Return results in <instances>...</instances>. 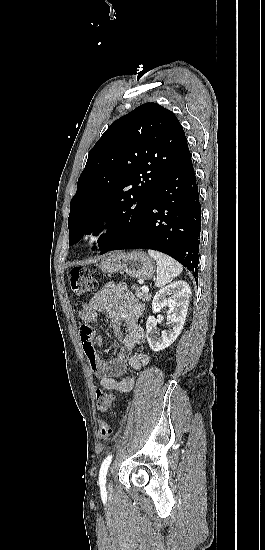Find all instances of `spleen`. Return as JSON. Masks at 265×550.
Wrapping results in <instances>:
<instances>
[{"mask_svg":"<svg viewBox=\"0 0 265 550\" xmlns=\"http://www.w3.org/2000/svg\"><path fill=\"white\" fill-rule=\"evenodd\" d=\"M148 253L157 262V287L165 286L182 272V266L171 257L154 250H148Z\"/></svg>","mask_w":265,"mask_h":550,"instance_id":"1","label":"spleen"}]
</instances>
